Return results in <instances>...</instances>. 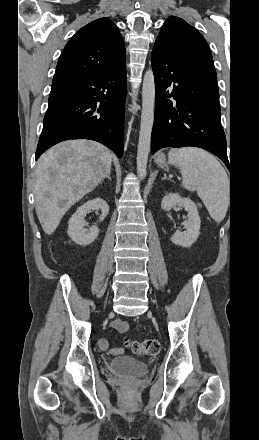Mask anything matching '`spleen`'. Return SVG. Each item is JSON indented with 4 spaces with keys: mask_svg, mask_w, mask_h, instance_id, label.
Listing matches in <instances>:
<instances>
[{
    "mask_svg": "<svg viewBox=\"0 0 259 440\" xmlns=\"http://www.w3.org/2000/svg\"><path fill=\"white\" fill-rule=\"evenodd\" d=\"M169 163L179 167L183 187L197 191L210 216L221 222L228 210L230 181L219 161L207 151L184 147L169 153Z\"/></svg>",
    "mask_w": 259,
    "mask_h": 440,
    "instance_id": "spleen-1",
    "label": "spleen"
}]
</instances>
